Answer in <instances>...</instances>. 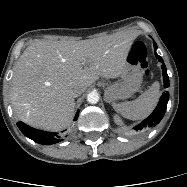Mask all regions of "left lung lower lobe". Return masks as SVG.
<instances>
[{"mask_svg": "<svg viewBox=\"0 0 187 187\" xmlns=\"http://www.w3.org/2000/svg\"><path fill=\"white\" fill-rule=\"evenodd\" d=\"M153 44H154V48L156 50L157 45L155 42H153ZM155 56L159 60V62L162 63L161 68H162V74H163L164 88H168L169 87V77L167 75L166 66H165L162 58L156 53V51H155ZM168 100H169V93L164 92L162 94V96L160 97L158 105L155 108V110L153 111V113L149 117H147L145 120H143L139 125L134 127V129L136 131H144V130H148V129L154 127L155 125H157L161 121V119L163 118V116L165 114Z\"/></svg>", "mask_w": 187, "mask_h": 187, "instance_id": "obj_1", "label": "left lung lower lobe"}]
</instances>
